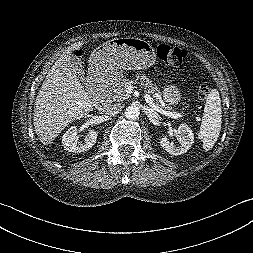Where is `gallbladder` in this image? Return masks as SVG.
Segmentation results:
<instances>
[{
    "instance_id": "1",
    "label": "gallbladder",
    "mask_w": 253,
    "mask_h": 253,
    "mask_svg": "<svg viewBox=\"0 0 253 253\" xmlns=\"http://www.w3.org/2000/svg\"><path fill=\"white\" fill-rule=\"evenodd\" d=\"M72 59H73V60H76V59L73 57V55H72ZM80 78H81L82 83H84V84H85V81H86V80H85V78H84V77H82V75H81V77H80Z\"/></svg>"
}]
</instances>
